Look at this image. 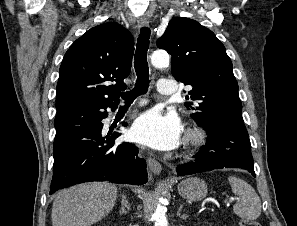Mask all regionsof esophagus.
Masks as SVG:
<instances>
[{"instance_id": "34e87169", "label": "esophagus", "mask_w": 297, "mask_h": 226, "mask_svg": "<svg viewBox=\"0 0 297 226\" xmlns=\"http://www.w3.org/2000/svg\"><path fill=\"white\" fill-rule=\"evenodd\" d=\"M138 27L142 28V27H149V21L147 18L142 17L138 20ZM147 165L149 167V169L155 174V175H159L162 171V166L161 164L153 157L148 156L147 159Z\"/></svg>"}]
</instances>
